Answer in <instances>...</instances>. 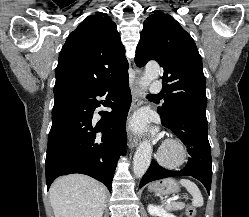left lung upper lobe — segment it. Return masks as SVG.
Segmentation results:
<instances>
[{"instance_id": "left-lung-upper-lobe-1", "label": "left lung upper lobe", "mask_w": 249, "mask_h": 217, "mask_svg": "<svg viewBox=\"0 0 249 217\" xmlns=\"http://www.w3.org/2000/svg\"><path fill=\"white\" fill-rule=\"evenodd\" d=\"M155 60L164 69V104L158 108L168 121L175 110L194 108L206 111V81L202 59L192 37L169 14L150 15L136 49L135 63L144 66Z\"/></svg>"}]
</instances>
